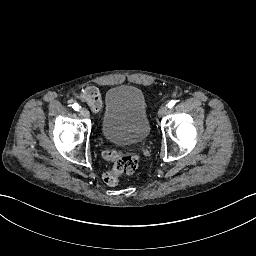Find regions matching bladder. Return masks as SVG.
Listing matches in <instances>:
<instances>
[{"instance_id":"1","label":"bladder","mask_w":256,"mask_h":256,"mask_svg":"<svg viewBox=\"0 0 256 256\" xmlns=\"http://www.w3.org/2000/svg\"><path fill=\"white\" fill-rule=\"evenodd\" d=\"M101 132L107 140L118 145L147 140L150 119L146 101L138 88L116 85L107 91Z\"/></svg>"}]
</instances>
